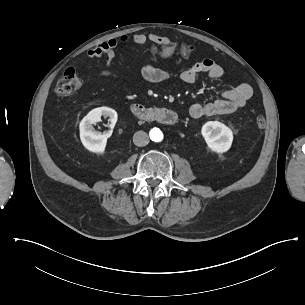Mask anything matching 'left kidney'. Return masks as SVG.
Returning a JSON list of instances; mask_svg holds the SVG:
<instances>
[{
    "label": "left kidney",
    "instance_id": "1",
    "mask_svg": "<svg viewBox=\"0 0 305 305\" xmlns=\"http://www.w3.org/2000/svg\"><path fill=\"white\" fill-rule=\"evenodd\" d=\"M201 135L208 149L216 154H224L232 147L233 131L219 121L206 122L201 128Z\"/></svg>",
    "mask_w": 305,
    "mask_h": 305
}]
</instances>
